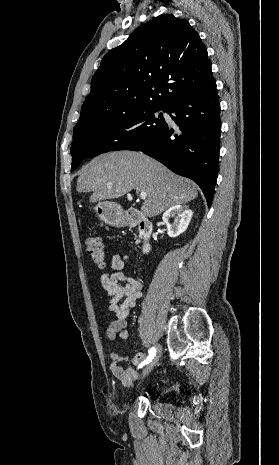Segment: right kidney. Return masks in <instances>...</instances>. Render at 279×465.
Masks as SVG:
<instances>
[{"instance_id": "obj_1", "label": "right kidney", "mask_w": 279, "mask_h": 465, "mask_svg": "<svg viewBox=\"0 0 279 465\" xmlns=\"http://www.w3.org/2000/svg\"><path fill=\"white\" fill-rule=\"evenodd\" d=\"M192 214V210L182 205L172 206L164 212L162 219L167 226L168 236L174 238L182 234L187 229L192 218ZM170 217H174L173 224L169 223Z\"/></svg>"}]
</instances>
